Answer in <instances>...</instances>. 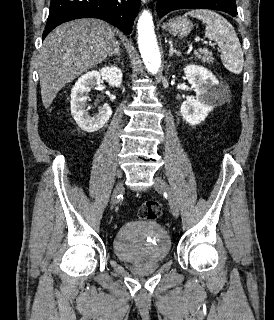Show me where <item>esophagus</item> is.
<instances>
[{"mask_svg":"<svg viewBox=\"0 0 274 320\" xmlns=\"http://www.w3.org/2000/svg\"><path fill=\"white\" fill-rule=\"evenodd\" d=\"M151 0H142L143 3H149Z\"/></svg>","mask_w":274,"mask_h":320,"instance_id":"obj_1","label":"esophagus"}]
</instances>
